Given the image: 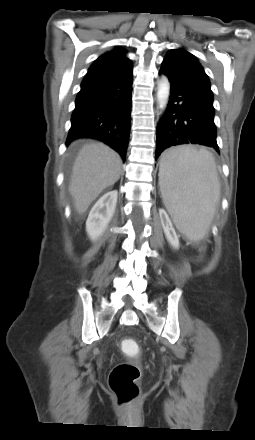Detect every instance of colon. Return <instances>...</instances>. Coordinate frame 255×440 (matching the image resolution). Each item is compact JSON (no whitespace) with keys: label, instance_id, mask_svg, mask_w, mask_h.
<instances>
[{"label":"colon","instance_id":"5ec220e1","mask_svg":"<svg viewBox=\"0 0 255 440\" xmlns=\"http://www.w3.org/2000/svg\"><path fill=\"white\" fill-rule=\"evenodd\" d=\"M120 348L130 356H135L139 352V345L129 338L121 340ZM140 376V367L135 363H122L114 366L109 375V386L119 404L129 403L139 396Z\"/></svg>","mask_w":255,"mask_h":440}]
</instances>
